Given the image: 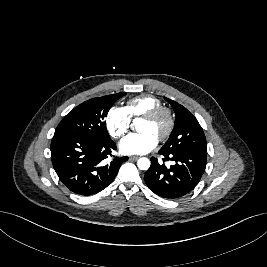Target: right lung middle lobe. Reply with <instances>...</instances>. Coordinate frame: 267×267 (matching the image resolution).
<instances>
[{"label": "right lung middle lobe", "instance_id": "dd1d6c3e", "mask_svg": "<svg viewBox=\"0 0 267 267\" xmlns=\"http://www.w3.org/2000/svg\"><path fill=\"white\" fill-rule=\"evenodd\" d=\"M125 94L121 92L81 103L63 118L54 136L109 138L104 118L111 106Z\"/></svg>", "mask_w": 267, "mask_h": 267}]
</instances>
